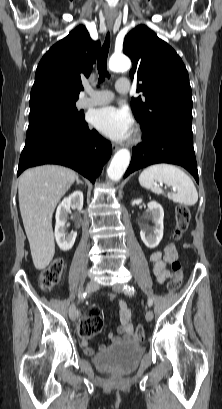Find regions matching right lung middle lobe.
<instances>
[{"label": "right lung middle lobe", "mask_w": 222, "mask_h": 409, "mask_svg": "<svg viewBox=\"0 0 222 409\" xmlns=\"http://www.w3.org/2000/svg\"><path fill=\"white\" fill-rule=\"evenodd\" d=\"M84 121L82 111L73 102H50L30 108L28 133L44 126L77 125Z\"/></svg>", "instance_id": "1"}]
</instances>
